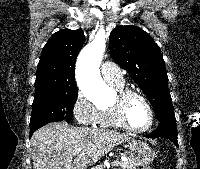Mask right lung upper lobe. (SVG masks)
<instances>
[{"mask_svg": "<svg viewBox=\"0 0 200 169\" xmlns=\"http://www.w3.org/2000/svg\"><path fill=\"white\" fill-rule=\"evenodd\" d=\"M84 39L81 29H62L50 37L38 63L36 91L76 86L75 62Z\"/></svg>", "mask_w": 200, "mask_h": 169, "instance_id": "cb5924a9", "label": "right lung upper lobe"}]
</instances>
